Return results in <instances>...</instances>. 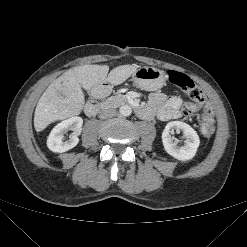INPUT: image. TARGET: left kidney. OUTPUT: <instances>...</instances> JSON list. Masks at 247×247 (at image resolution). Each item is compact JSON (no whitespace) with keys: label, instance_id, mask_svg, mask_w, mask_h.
I'll return each instance as SVG.
<instances>
[{"label":"left kidney","instance_id":"left-kidney-1","mask_svg":"<svg viewBox=\"0 0 247 247\" xmlns=\"http://www.w3.org/2000/svg\"><path fill=\"white\" fill-rule=\"evenodd\" d=\"M174 130L182 131L185 138L184 145L178 146L177 142L174 141L172 137ZM162 142L169 155L180 161H186L195 156L200 140L198 134L190 125L181 121H171L162 133Z\"/></svg>","mask_w":247,"mask_h":247}]
</instances>
